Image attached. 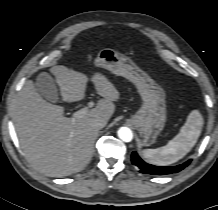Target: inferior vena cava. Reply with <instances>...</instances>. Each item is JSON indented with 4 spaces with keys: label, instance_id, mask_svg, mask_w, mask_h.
<instances>
[{
    "label": "inferior vena cava",
    "instance_id": "602c4592",
    "mask_svg": "<svg viewBox=\"0 0 218 210\" xmlns=\"http://www.w3.org/2000/svg\"><path fill=\"white\" fill-rule=\"evenodd\" d=\"M107 124V121L104 120V119H101V120H94L92 122V126L97 129V130H100L102 129L103 127H105Z\"/></svg>",
    "mask_w": 218,
    "mask_h": 210
}]
</instances>
